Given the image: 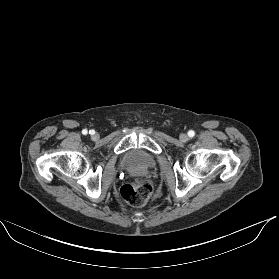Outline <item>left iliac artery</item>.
Listing matches in <instances>:
<instances>
[{
	"label": "left iliac artery",
	"instance_id": "obj_1",
	"mask_svg": "<svg viewBox=\"0 0 279 279\" xmlns=\"http://www.w3.org/2000/svg\"><path fill=\"white\" fill-rule=\"evenodd\" d=\"M194 135H195V132L193 131V130H190L189 132H188V136L189 137H194Z\"/></svg>",
	"mask_w": 279,
	"mask_h": 279
}]
</instances>
